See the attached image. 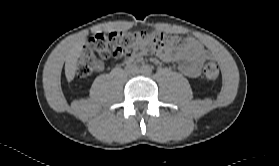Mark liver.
I'll return each mask as SVG.
<instances>
[{
  "label": "liver",
  "mask_w": 279,
  "mask_h": 166,
  "mask_svg": "<svg viewBox=\"0 0 279 166\" xmlns=\"http://www.w3.org/2000/svg\"><path fill=\"white\" fill-rule=\"evenodd\" d=\"M85 42V38L78 39L74 42L72 48L67 53L65 63V75L68 82H71L75 77L78 59L81 55L83 45L85 44Z\"/></svg>",
  "instance_id": "6515ba94"
}]
</instances>
